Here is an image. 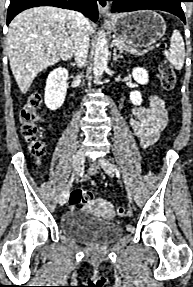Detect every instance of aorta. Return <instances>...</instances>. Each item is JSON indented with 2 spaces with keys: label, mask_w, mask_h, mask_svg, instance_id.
Here are the masks:
<instances>
[{
  "label": "aorta",
  "mask_w": 193,
  "mask_h": 287,
  "mask_svg": "<svg viewBox=\"0 0 193 287\" xmlns=\"http://www.w3.org/2000/svg\"><path fill=\"white\" fill-rule=\"evenodd\" d=\"M108 54L109 49L106 34L104 32H99L95 45L94 67H93V72L96 81H98L99 78L102 76L103 71L107 66Z\"/></svg>",
  "instance_id": "obj_1"
}]
</instances>
